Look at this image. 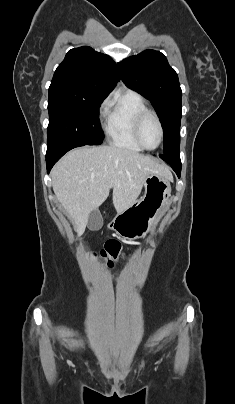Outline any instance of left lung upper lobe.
Returning <instances> with one entry per match:
<instances>
[{
    "instance_id": "left-lung-upper-lobe-1",
    "label": "left lung upper lobe",
    "mask_w": 235,
    "mask_h": 404,
    "mask_svg": "<svg viewBox=\"0 0 235 404\" xmlns=\"http://www.w3.org/2000/svg\"><path fill=\"white\" fill-rule=\"evenodd\" d=\"M122 81L154 106L164 130L163 155L179 156L182 91L178 75L159 51L145 50L118 63Z\"/></svg>"
}]
</instances>
